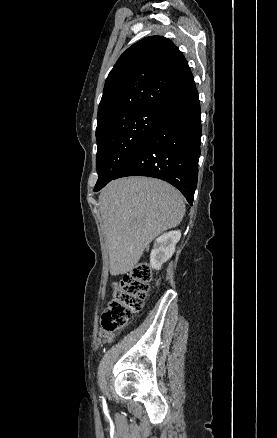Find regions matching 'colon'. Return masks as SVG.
Here are the masks:
<instances>
[{"label":"colon","mask_w":277,"mask_h":438,"mask_svg":"<svg viewBox=\"0 0 277 438\" xmlns=\"http://www.w3.org/2000/svg\"><path fill=\"white\" fill-rule=\"evenodd\" d=\"M146 278H150L147 266H137L114 285L108 308L99 322L100 332L123 328L141 311L144 300L150 294Z\"/></svg>","instance_id":"colon-1"}]
</instances>
